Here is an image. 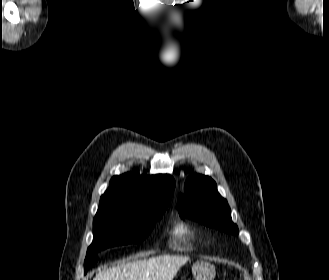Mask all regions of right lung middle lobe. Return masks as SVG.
<instances>
[{
  "label": "right lung middle lobe",
  "mask_w": 329,
  "mask_h": 280,
  "mask_svg": "<svg viewBox=\"0 0 329 280\" xmlns=\"http://www.w3.org/2000/svg\"><path fill=\"white\" fill-rule=\"evenodd\" d=\"M170 201L139 208L120 202L99 205L93 220L94 238L84 261L85 273L97 261L100 250L145 239L162 217Z\"/></svg>",
  "instance_id": "dd1d6c3e"
}]
</instances>
